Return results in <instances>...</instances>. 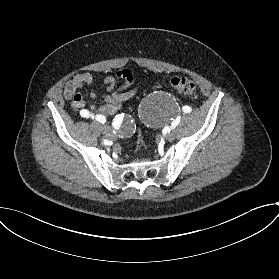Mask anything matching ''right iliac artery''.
I'll use <instances>...</instances> for the list:
<instances>
[{"instance_id": "obj_1", "label": "right iliac artery", "mask_w": 279, "mask_h": 279, "mask_svg": "<svg viewBox=\"0 0 279 279\" xmlns=\"http://www.w3.org/2000/svg\"><path fill=\"white\" fill-rule=\"evenodd\" d=\"M81 116L84 117L85 119H94L99 121L100 123H105L106 122V118L102 115H94L92 112L87 111L86 109H83L81 111ZM126 121L123 117L118 116L116 118H114L112 125L118 129H121L125 126Z\"/></svg>"}]
</instances>
